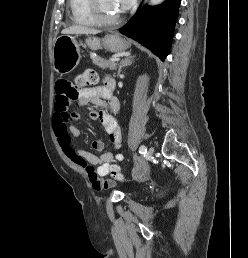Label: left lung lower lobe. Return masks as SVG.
<instances>
[{
  "label": "left lung lower lobe",
  "instance_id": "1",
  "mask_svg": "<svg viewBox=\"0 0 248 258\" xmlns=\"http://www.w3.org/2000/svg\"><path fill=\"white\" fill-rule=\"evenodd\" d=\"M180 2L165 0L158 6H143L120 33L148 47L164 60L169 53Z\"/></svg>",
  "mask_w": 248,
  "mask_h": 258
}]
</instances>
